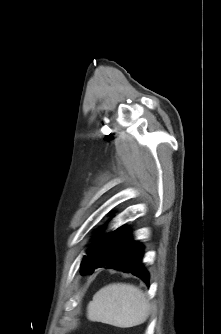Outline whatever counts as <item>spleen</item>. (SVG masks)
<instances>
[{
	"label": "spleen",
	"instance_id": "1",
	"mask_svg": "<svg viewBox=\"0 0 221 334\" xmlns=\"http://www.w3.org/2000/svg\"><path fill=\"white\" fill-rule=\"evenodd\" d=\"M149 311L150 304L142 290L131 284L112 283L95 293L87 307V318L129 328L144 323Z\"/></svg>",
	"mask_w": 221,
	"mask_h": 334
}]
</instances>
